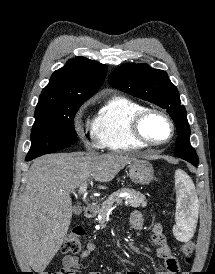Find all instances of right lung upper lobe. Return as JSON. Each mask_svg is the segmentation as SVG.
I'll return each instance as SVG.
<instances>
[{
    "mask_svg": "<svg viewBox=\"0 0 215 274\" xmlns=\"http://www.w3.org/2000/svg\"><path fill=\"white\" fill-rule=\"evenodd\" d=\"M107 66L85 57L70 59L56 70L42 90L38 104L68 102L83 104L101 86Z\"/></svg>",
    "mask_w": 215,
    "mask_h": 274,
    "instance_id": "right-lung-upper-lobe-1",
    "label": "right lung upper lobe"
}]
</instances>
